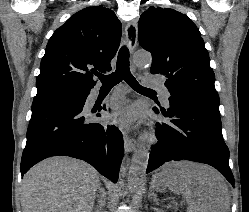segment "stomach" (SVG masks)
<instances>
[{
  "instance_id": "obj_1",
  "label": "stomach",
  "mask_w": 249,
  "mask_h": 212,
  "mask_svg": "<svg viewBox=\"0 0 249 212\" xmlns=\"http://www.w3.org/2000/svg\"><path fill=\"white\" fill-rule=\"evenodd\" d=\"M158 189H162V192H165V189H171V184H158Z\"/></svg>"
}]
</instances>
